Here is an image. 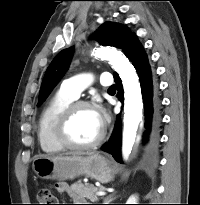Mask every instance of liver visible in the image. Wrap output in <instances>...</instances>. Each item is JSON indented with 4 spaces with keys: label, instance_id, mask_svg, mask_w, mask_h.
<instances>
[{
    "label": "liver",
    "instance_id": "liver-1",
    "mask_svg": "<svg viewBox=\"0 0 200 205\" xmlns=\"http://www.w3.org/2000/svg\"><path fill=\"white\" fill-rule=\"evenodd\" d=\"M76 155H80V153H75Z\"/></svg>",
    "mask_w": 200,
    "mask_h": 205
}]
</instances>
